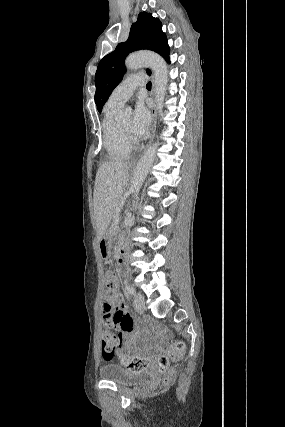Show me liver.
I'll return each instance as SVG.
<instances>
[{
	"instance_id": "6515ba94",
	"label": "liver",
	"mask_w": 285,
	"mask_h": 427,
	"mask_svg": "<svg viewBox=\"0 0 285 427\" xmlns=\"http://www.w3.org/2000/svg\"><path fill=\"white\" fill-rule=\"evenodd\" d=\"M127 162H105L96 173L93 203L97 234L101 238L115 213L129 181Z\"/></svg>"
}]
</instances>
